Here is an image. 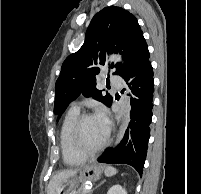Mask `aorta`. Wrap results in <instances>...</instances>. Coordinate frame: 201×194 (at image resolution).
<instances>
[{"mask_svg": "<svg viewBox=\"0 0 201 194\" xmlns=\"http://www.w3.org/2000/svg\"><path fill=\"white\" fill-rule=\"evenodd\" d=\"M109 59H110V61H113V62H118L121 60L120 56H118V55H112V56H110ZM127 126H128V119H127V117H125L123 122H122V125L120 126V129L118 131L116 141H115V145H117L122 140V138L124 137Z\"/></svg>", "mask_w": 201, "mask_h": 194, "instance_id": "762f6f07", "label": "aorta"}]
</instances>
